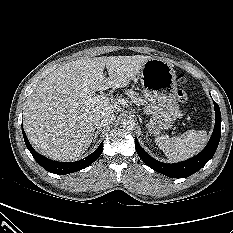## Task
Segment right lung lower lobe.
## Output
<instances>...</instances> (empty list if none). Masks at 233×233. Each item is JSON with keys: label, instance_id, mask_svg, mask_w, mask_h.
I'll return each mask as SVG.
<instances>
[{"label": "right lung lower lobe", "instance_id": "1", "mask_svg": "<svg viewBox=\"0 0 233 233\" xmlns=\"http://www.w3.org/2000/svg\"><path fill=\"white\" fill-rule=\"evenodd\" d=\"M22 133H23L24 141H25L27 148L31 152L34 159L38 162V164L41 165L48 172L58 174V175L69 174V173L76 172V171H79L81 169L88 167L91 163L97 160V158L101 155L103 151V142H102L92 154H90L89 156H87L86 158L82 160H79L76 162H56V161H52L38 154L32 148L23 128H22Z\"/></svg>", "mask_w": 233, "mask_h": 233}]
</instances>
